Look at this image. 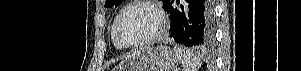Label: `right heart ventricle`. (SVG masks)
<instances>
[{
    "mask_svg": "<svg viewBox=\"0 0 301 71\" xmlns=\"http://www.w3.org/2000/svg\"><path fill=\"white\" fill-rule=\"evenodd\" d=\"M111 36H112V40H113L114 46H115L117 49L121 50L122 47H121V46L117 43V41L115 40L114 32H113V27H112V29H111Z\"/></svg>",
    "mask_w": 301,
    "mask_h": 71,
    "instance_id": "obj_1",
    "label": "right heart ventricle"
}]
</instances>
